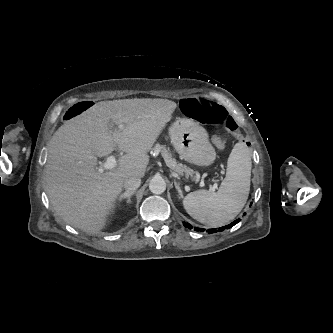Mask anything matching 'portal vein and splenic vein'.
<instances>
[{
    "label": "portal vein and splenic vein",
    "mask_w": 333,
    "mask_h": 333,
    "mask_svg": "<svg viewBox=\"0 0 333 333\" xmlns=\"http://www.w3.org/2000/svg\"><path fill=\"white\" fill-rule=\"evenodd\" d=\"M119 127L121 128L122 126H119ZM116 165H117V164H116V158H115V156L111 155V156H109V157L107 158L106 162L103 163V166H102V168H101V171H103V170H109V169L115 168ZM216 188H217V185H214V186L212 187V190L214 191Z\"/></svg>",
    "instance_id": "obj_1"
}]
</instances>
